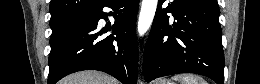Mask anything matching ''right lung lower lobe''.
<instances>
[{
    "label": "right lung lower lobe",
    "instance_id": "obj_1",
    "mask_svg": "<svg viewBox=\"0 0 260 84\" xmlns=\"http://www.w3.org/2000/svg\"><path fill=\"white\" fill-rule=\"evenodd\" d=\"M115 10L112 35L101 38L99 19L107 20L102 8ZM139 0H103L79 24L51 44L48 84H55L68 74L81 70L106 72L123 84H136L138 51L135 23ZM115 35V36H113Z\"/></svg>",
    "mask_w": 260,
    "mask_h": 84
}]
</instances>
